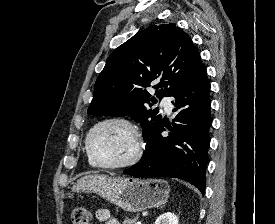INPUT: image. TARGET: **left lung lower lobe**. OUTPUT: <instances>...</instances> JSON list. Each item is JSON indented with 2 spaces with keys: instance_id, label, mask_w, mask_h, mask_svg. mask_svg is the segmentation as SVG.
Segmentation results:
<instances>
[{
  "instance_id": "obj_1",
  "label": "left lung lower lobe",
  "mask_w": 275,
  "mask_h": 224,
  "mask_svg": "<svg viewBox=\"0 0 275 224\" xmlns=\"http://www.w3.org/2000/svg\"><path fill=\"white\" fill-rule=\"evenodd\" d=\"M209 90L203 66L171 95L175 98L173 111H178L173 127L161 122L145 138L147 144L141 162L124 173L141 178H180L204 193L212 123ZM164 127L170 131L168 137L161 135Z\"/></svg>"
}]
</instances>
